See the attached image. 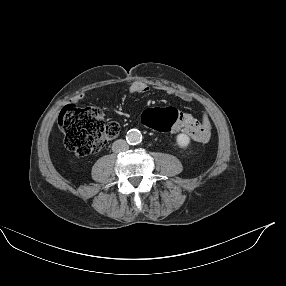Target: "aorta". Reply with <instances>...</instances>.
Masks as SVG:
<instances>
[{
	"instance_id": "aorta-1",
	"label": "aorta",
	"mask_w": 286,
	"mask_h": 286,
	"mask_svg": "<svg viewBox=\"0 0 286 286\" xmlns=\"http://www.w3.org/2000/svg\"><path fill=\"white\" fill-rule=\"evenodd\" d=\"M126 140L131 145H137L142 141V134L137 129H131L126 135Z\"/></svg>"
}]
</instances>
